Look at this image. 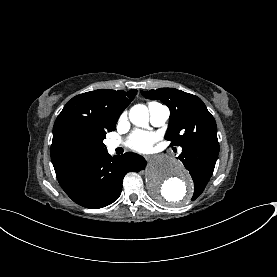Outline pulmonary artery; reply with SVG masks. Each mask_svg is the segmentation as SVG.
Here are the masks:
<instances>
[{"label":"pulmonary artery","instance_id":"1","mask_svg":"<svg viewBox=\"0 0 277 277\" xmlns=\"http://www.w3.org/2000/svg\"><path fill=\"white\" fill-rule=\"evenodd\" d=\"M146 110L148 112L150 122L156 127L164 126L170 116L169 108L158 102L149 103V105L146 107ZM118 145L119 144L117 142L111 143L112 147H117Z\"/></svg>","mask_w":277,"mask_h":277}]
</instances>
